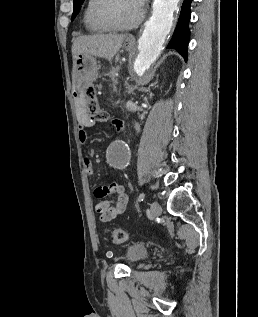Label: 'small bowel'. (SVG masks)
Listing matches in <instances>:
<instances>
[{
    "label": "small bowel",
    "instance_id": "small-bowel-1",
    "mask_svg": "<svg viewBox=\"0 0 258 317\" xmlns=\"http://www.w3.org/2000/svg\"><path fill=\"white\" fill-rule=\"evenodd\" d=\"M112 125L118 130L122 129L123 125L120 121H112ZM81 128L78 132L79 141L82 144L87 142L88 136L85 128L88 127V121L82 120L80 123ZM84 168L88 176L94 175V168L92 161L86 157L84 158ZM95 197L98 199H103L109 195H113V199H105L100 201L96 205V212L99 214V219L103 223L110 222L117 218L119 215L124 213L128 204V197L125 193V189L122 185L117 183H112L106 186H99L95 189Z\"/></svg>",
    "mask_w": 258,
    "mask_h": 317
}]
</instances>
